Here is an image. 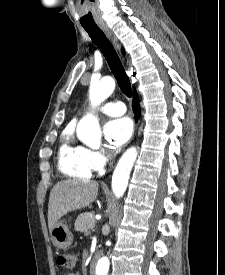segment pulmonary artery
Segmentation results:
<instances>
[{"label":"pulmonary artery","instance_id":"pulmonary-artery-1","mask_svg":"<svg viewBox=\"0 0 225 275\" xmlns=\"http://www.w3.org/2000/svg\"><path fill=\"white\" fill-rule=\"evenodd\" d=\"M98 110L110 116H120L126 112V107L123 102L116 101L105 103Z\"/></svg>","mask_w":225,"mask_h":275}]
</instances>
